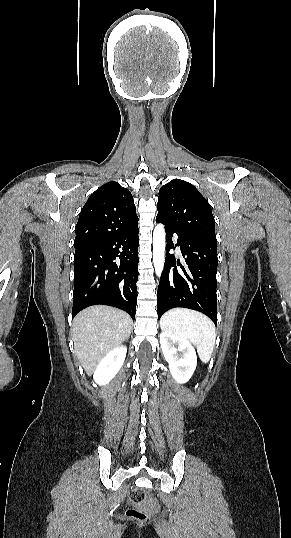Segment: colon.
<instances>
[{
    "label": "colon",
    "mask_w": 291,
    "mask_h": 538,
    "mask_svg": "<svg viewBox=\"0 0 291 538\" xmlns=\"http://www.w3.org/2000/svg\"><path fill=\"white\" fill-rule=\"evenodd\" d=\"M130 503L133 505L128 511L127 515L137 520L144 521L151 517V512L147 509H141L135 505L140 504L145 499V493L141 489H134L128 495Z\"/></svg>",
    "instance_id": "obj_1"
}]
</instances>
